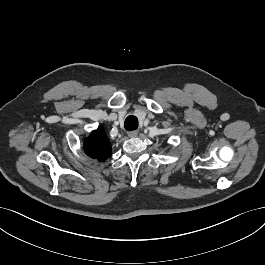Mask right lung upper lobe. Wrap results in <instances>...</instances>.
<instances>
[{
    "mask_svg": "<svg viewBox=\"0 0 265 265\" xmlns=\"http://www.w3.org/2000/svg\"><path fill=\"white\" fill-rule=\"evenodd\" d=\"M84 150L88 156L100 162L111 156V145L102 127L93 131L85 140Z\"/></svg>",
    "mask_w": 265,
    "mask_h": 265,
    "instance_id": "obj_1",
    "label": "right lung upper lobe"
}]
</instances>
